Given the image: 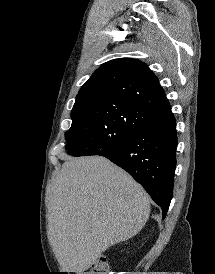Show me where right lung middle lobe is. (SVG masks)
Masks as SVG:
<instances>
[{
	"mask_svg": "<svg viewBox=\"0 0 215 274\" xmlns=\"http://www.w3.org/2000/svg\"><path fill=\"white\" fill-rule=\"evenodd\" d=\"M154 113L117 100L74 104L72 126L65 133L66 150L73 156L99 155L122 144Z\"/></svg>",
	"mask_w": 215,
	"mask_h": 274,
	"instance_id": "right-lung-middle-lobe-1",
	"label": "right lung middle lobe"
}]
</instances>
